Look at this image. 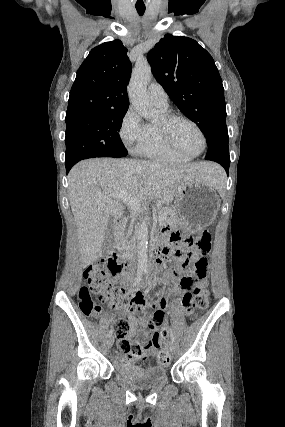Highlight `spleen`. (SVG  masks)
Masks as SVG:
<instances>
[{
  "label": "spleen",
  "instance_id": "1",
  "mask_svg": "<svg viewBox=\"0 0 285 427\" xmlns=\"http://www.w3.org/2000/svg\"><path fill=\"white\" fill-rule=\"evenodd\" d=\"M225 184H226V176L224 174L223 171H218L217 172V181H216V186L215 188L217 190H219L220 192H222L225 188Z\"/></svg>",
  "mask_w": 285,
  "mask_h": 427
}]
</instances>
